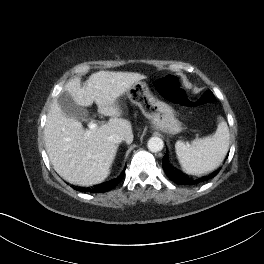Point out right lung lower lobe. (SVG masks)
Wrapping results in <instances>:
<instances>
[{"instance_id": "1", "label": "right lung lower lobe", "mask_w": 264, "mask_h": 264, "mask_svg": "<svg viewBox=\"0 0 264 264\" xmlns=\"http://www.w3.org/2000/svg\"><path fill=\"white\" fill-rule=\"evenodd\" d=\"M124 173L122 174V176L116 178V179H113L111 180L110 182L108 183H104V184H101L97 187H94L93 189H90V188H86V189H81L80 191L82 192H87V191H91V192H106V191H109L110 189L114 188L119 182L120 180L122 179Z\"/></svg>"}]
</instances>
